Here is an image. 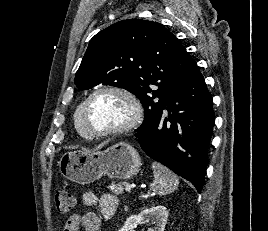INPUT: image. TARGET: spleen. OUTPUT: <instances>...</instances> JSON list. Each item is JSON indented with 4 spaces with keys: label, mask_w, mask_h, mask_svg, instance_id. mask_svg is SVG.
I'll use <instances>...</instances> for the list:
<instances>
[{
    "label": "spleen",
    "mask_w": 268,
    "mask_h": 231,
    "mask_svg": "<svg viewBox=\"0 0 268 231\" xmlns=\"http://www.w3.org/2000/svg\"><path fill=\"white\" fill-rule=\"evenodd\" d=\"M152 170L154 179L150 184V188L154 192L160 196H164L166 194L172 193L178 188L179 180L177 176L167 167L158 162H153Z\"/></svg>",
    "instance_id": "spleen-1"
}]
</instances>
